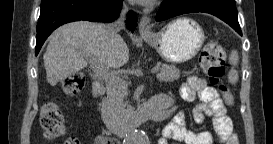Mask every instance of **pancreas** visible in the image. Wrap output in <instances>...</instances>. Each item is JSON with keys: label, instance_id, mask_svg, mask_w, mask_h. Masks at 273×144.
I'll return each instance as SVG.
<instances>
[{"label": "pancreas", "instance_id": "pancreas-1", "mask_svg": "<svg viewBox=\"0 0 273 144\" xmlns=\"http://www.w3.org/2000/svg\"><path fill=\"white\" fill-rule=\"evenodd\" d=\"M156 67L160 70L157 75L160 81L173 82L180 77V70L174 65L157 63ZM126 96L127 90L107 86V97L102 102L101 117L108 129L113 130L123 125L132 114V107L125 101Z\"/></svg>", "mask_w": 273, "mask_h": 144}]
</instances>
